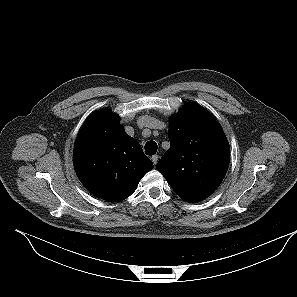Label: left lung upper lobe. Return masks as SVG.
Returning <instances> with one entry per match:
<instances>
[{
	"instance_id": "1",
	"label": "left lung upper lobe",
	"mask_w": 297,
	"mask_h": 297,
	"mask_svg": "<svg viewBox=\"0 0 297 297\" xmlns=\"http://www.w3.org/2000/svg\"><path fill=\"white\" fill-rule=\"evenodd\" d=\"M170 148L157 163L175 193L186 202L212 194L226 175L230 161L228 140L212 115L188 103L169 121Z\"/></svg>"
}]
</instances>
